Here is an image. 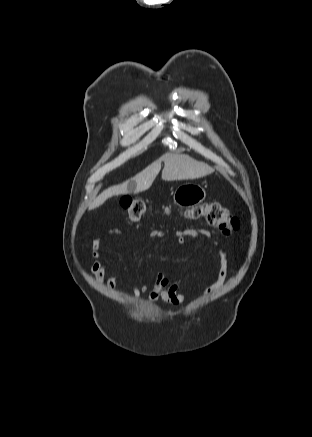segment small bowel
<instances>
[{"label":"small bowel","instance_id":"c3829d8e","mask_svg":"<svg viewBox=\"0 0 312 437\" xmlns=\"http://www.w3.org/2000/svg\"><path fill=\"white\" fill-rule=\"evenodd\" d=\"M107 234L121 235L122 232L115 229L108 231ZM163 235L164 233L160 230H153L150 232L151 237L159 238L163 237ZM175 235L180 244H184L186 237H193L198 239L202 237H210V234L202 229L178 230L176 231ZM101 239L102 236H98L92 242V255L94 257V261L91 266V272L99 284H105L110 290H113L116 286L117 276L112 275L107 279L105 278L107 264L102 260L103 253L101 247ZM213 243L216 247H218L221 267L215 283L207 287L205 289V293H210L219 289L225 283L229 269V262L226 253L222 248H220L217 242ZM133 293L135 296L147 294L148 301L150 303H154L160 299L172 306H177L186 301V294L180 290V281L171 280L163 274H157L156 280L153 285H143L140 287H136L134 288Z\"/></svg>","mask_w":312,"mask_h":437}]
</instances>
